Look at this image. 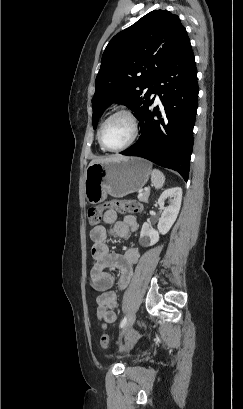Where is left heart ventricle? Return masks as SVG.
Wrapping results in <instances>:
<instances>
[{
  "instance_id": "b2bd125f",
  "label": "left heart ventricle",
  "mask_w": 243,
  "mask_h": 409,
  "mask_svg": "<svg viewBox=\"0 0 243 409\" xmlns=\"http://www.w3.org/2000/svg\"><path fill=\"white\" fill-rule=\"evenodd\" d=\"M132 136V124L125 116H117L103 128V140L110 148L124 145Z\"/></svg>"
}]
</instances>
